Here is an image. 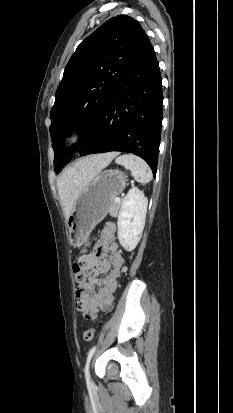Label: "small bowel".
I'll list each match as a JSON object with an SVG mask.
<instances>
[{
  "mask_svg": "<svg viewBox=\"0 0 233 413\" xmlns=\"http://www.w3.org/2000/svg\"><path fill=\"white\" fill-rule=\"evenodd\" d=\"M79 262L89 272L88 280L76 289L77 308L85 317L94 318L99 312L110 309L124 262L116 243V226L113 222L104 226L94 253L80 257ZM101 274L107 275L100 279Z\"/></svg>",
  "mask_w": 233,
  "mask_h": 413,
  "instance_id": "1",
  "label": "small bowel"
}]
</instances>
